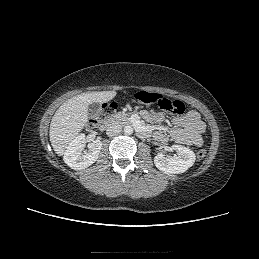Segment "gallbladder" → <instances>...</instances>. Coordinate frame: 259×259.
Here are the masks:
<instances>
[{
  "label": "gallbladder",
  "instance_id": "bac80fb5",
  "mask_svg": "<svg viewBox=\"0 0 259 259\" xmlns=\"http://www.w3.org/2000/svg\"><path fill=\"white\" fill-rule=\"evenodd\" d=\"M101 110V105L98 102H93L88 107V115L89 117L95 118L99 114Z\"/></svg>",
  "mask_w": 259,
  "mask_h": 259
}]
</instances>
